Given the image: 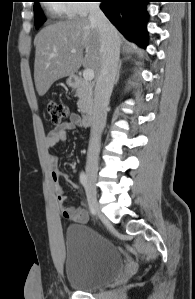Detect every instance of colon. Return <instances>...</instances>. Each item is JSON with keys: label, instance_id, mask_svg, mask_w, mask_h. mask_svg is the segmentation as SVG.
<instances>
[{"label": "colon", "instance_id": "colon-1", "mask_svg": "<svg viewBox=\"0 0 195 299\" xmlns=\"http://www.w3.org/2000/svg\"><path fill=\"white\" fill-rule=\"evenodd\" d=\"M47 112L53 124H60L68 116L69 108L64 102L49 101Z\"/></svg>", "mask_w": 195, "mask_h": 299}]
</instances>
